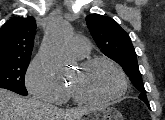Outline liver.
Masks as SVG:
<instances>
[{"label": "liver", "instance_id": "6515ba94", "mask_svg": "<svg viewBox=\"0 0 165 120\" xmlns=\"http://www.w3.org/2000/svg\"><path fill=\"white\" fill-rule=\"evenodd\" d=\"M88 108L63 110L34 98L0 89V120H80Z\"/></svg>", "mask_w": 165, "mask_h": 120}]
</instances>
